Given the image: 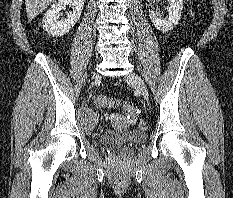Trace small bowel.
<instances>
[{"label":"small bowel","instance_id":"c3829d8e","mask_svg":"<svg viewBox=\"0 0 233 198\" xmlns=\"http://www.w3.org/2000/svg\"><path fill=\"white\" fill-rule=\"evenodd\" d=\"M189 15L191 16V15H192V13H191V12H189Z\"/></svg>","mask_w":233,"mask_h":198}]
</instances>
